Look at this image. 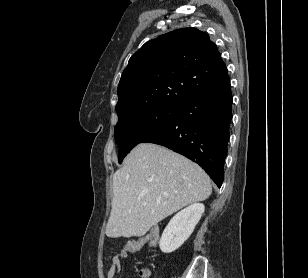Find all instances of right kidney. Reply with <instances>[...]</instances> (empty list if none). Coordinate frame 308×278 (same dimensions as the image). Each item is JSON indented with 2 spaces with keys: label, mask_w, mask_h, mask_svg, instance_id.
Here are the masks:
<instances>
[{
  "label": "right kidney",
  "mask_w": 308,
  "mask_h": 278,
  "mask_svg": "<svg viewBox=\"0 0 308 278\" xmlns=\"http://www.w3.org/2000/svg\"><path fill=\"white\" fill-rule=\"evenodd\" d=\"M204 210L202 203H195L177 213L162 233L159 241L161 251L171 253L178 249L190 237Z\"/></svg>",
  "instance_id": "obj_1"
}]
</instances>
